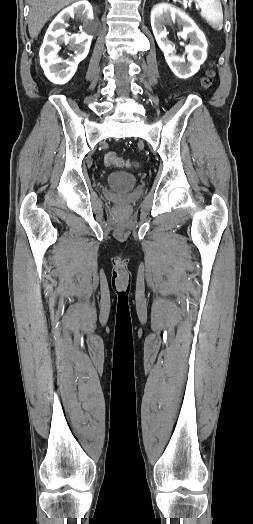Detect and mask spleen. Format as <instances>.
<instances>
[{
	"label": "spleen",
	"instance_id": "1",
	"mask_svg": "<svg viewBox=\"0 0 253 524\" xmlns=\"http://www.w3.org/2000/svg\"><path fill=\"white\" fill-rule=\"evenodd\" d=\"M201 8V16L215 30L223 27V10L220 0H195Z\"/></svg>",
	"mask_w": 253,
	"mask_h": 524
}]
</instances>
